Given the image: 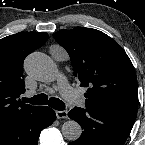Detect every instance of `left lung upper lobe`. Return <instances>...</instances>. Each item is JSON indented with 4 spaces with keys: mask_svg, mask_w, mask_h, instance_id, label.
Segmentation results:
<instances>
[{
    "mask_svg": "<svg viewBox=\"0 0 145 145\" xmlns=\"http://www.w3.org/2000/svg\"><path fill=\"white\" fill-rule=\"evenodd\" d=\"M53 37L68 52L80 85L88 88L86 108L137 111L134 67L116 41L101 31L84 27L60 30Z\"/></svg>",
    "mask_w": 145,
    "mask_h": 145,
    "instance_id": "5c2ea615",
    "label": "left lung upper lobe"
}]
</instances>
